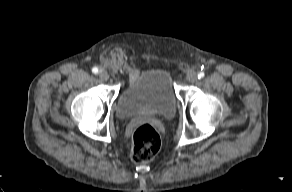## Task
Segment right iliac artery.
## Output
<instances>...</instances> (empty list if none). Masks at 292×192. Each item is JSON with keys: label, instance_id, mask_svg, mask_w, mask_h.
<instances>
[{"label": "right iliac artery", "instance_id": "1", "mask_svg": "<svg viewBox=\"0 0 292 192\" xmlns=\"http://www.w3.org/2000/svg\"><path fill=\"white\" fill-rule=\"evenodd\" d=\"M92 72H93L94 74H98L99 70H98L97 67H94V68L92 69Z\"/></svg>", "mask_w": 292, "mask_h": 192}]
</instances>
